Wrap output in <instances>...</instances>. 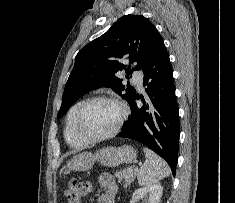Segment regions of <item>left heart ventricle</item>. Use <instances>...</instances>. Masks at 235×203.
<instances>
[{"label":"left heart ventricle","instance_id":"left-heart-ventricle-1","mask_svg":"<svg viewBox=\"0 0 235 203\" xmlns=\"http://www.w3.org/2000/svg\"><path fill=\"white\" fill-rule=\"evenodd\" d=\"M121 115L120 107L109 101L92 104L84 113L80 128L89 136H100L110 132Z\"/></svg>","mask_w":235,"mask_h":203}]
</instances>
